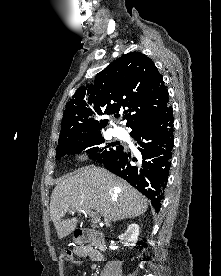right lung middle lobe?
Listing matches in <instances>:
<instances>
[{"mask_svg":"<svg viewBox=\"0 0 221 276\" xmlns=\"http://www.w3.org/2000/svg\"><path fill=\"white\" fill-rule=\"evenodd\" d=\"M103 143L104 139L100 132L59 142L56 149V159L59 160L61 157L68 154H77L86 150V153H89V158L104 163L111 160L123 150L122 146L109 148L112 144H109L106 147H100Z\"/></svg>","mask_w":221,"mask_h":276,"instance_id":"dd1d6c3e","label":"right lung middle lobe"}]
</instances>
